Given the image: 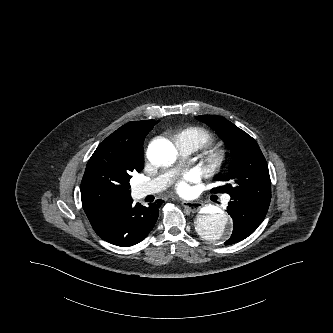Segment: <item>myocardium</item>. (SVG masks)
<instances>
[{
	"label": "myocardium",
	"instance_id": "obj_1",
	"mask_svg": "<svg viewBox=\"0 0 333 333\" xmlns=\"http://www.w3.org/2000/svg\"><path fill=\"white\" fill-rule=\"evenodd\" d=\"M224 159H225L224 156L217 155V156L212 157L211 161L213 163H215L217 166H220L224 162Z\"/></svg>",
	"mask_w": 333,
	"mask_h": 333
}]
</instances>
